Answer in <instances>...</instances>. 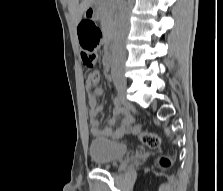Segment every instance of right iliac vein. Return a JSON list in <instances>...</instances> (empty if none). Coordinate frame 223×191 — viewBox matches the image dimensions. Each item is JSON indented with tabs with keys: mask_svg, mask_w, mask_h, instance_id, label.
Segmentation results:
<instances>
[{
	"mask_svg": "<svg viewBox=\"0 0 223 191\" xmlns=\"http://www.w3.org/2000/svg\"><path fill=\"white\" fill-rule=\"evenodd\" d=\"M114 85H115L116 90H117L119 96L121 97V99H124L125 95H126V90H127L126 80H124V79L115 80Z\"/></svg>",
	"mask_w": 223,
	"mask_h": 191,
	"instance_id": "1",
	"label": "right iliac vein"
}]
</instances>
